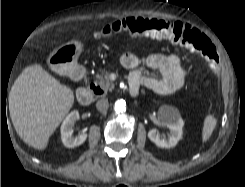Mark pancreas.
I'll return each mask as SVG.
<instances>
[{"instance_id": "pancreas-1", "label": "pancreas", "mask_w": 245, "mask_h": 187, "mask_svg": "<svg viewBox=\"0 0 245 187\" xmlns=\"http://www.w3.org/2000/svg\"><path fill=\"white\" fill-rule=\"evenodd\" d=\"M97 80L95 81L100 88L107 92V91H112L115 87L114 83L109 79L107 73H101L97 74Z\"/></svg>"}]
</instances>
